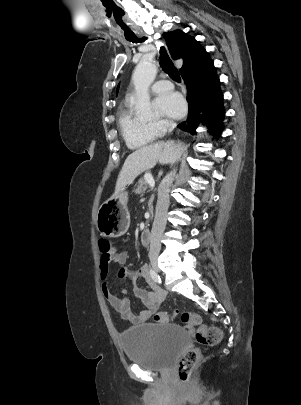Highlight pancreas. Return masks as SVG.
Here are the masks:
<instances>
[{
    "mask_svg": "<svg viewBox=\"0 0 301 405\" xmlns=\"http://www.w3.org/2000/svg\"><path fill=\"white\" fill-rule=\"evenodd\" d=\"M147 189V181L146 178H141L138 182V187L135 191L136 194L142 195ZM154 196L150 199V209L152 210V203H153Z\"/></svg>",
    "mask_w": 301,
    "mask_h": 405,
    "instance_id": "obj_1",
    "label": "pancreas"
}]
</instances>
